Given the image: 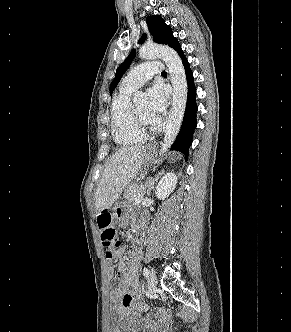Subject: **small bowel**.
<instances>
[{
	"label": "small bowel",
	"mask_w": 291,
	"mask_h": 332,
	"mask_svg": "<svg viewBox=\"0 0 291 332\" xmlns=\"http://www.w3.org/2000/svg\"><path fill=\"white\" fill-rule=\"evenodd\" d=\"M118 257L117 278L119 284L110 294L111 313L118 331L157 332L166 325L168 315L161 313L155 321L141 315L149 309V306L142 300L137 281V268L142 255L139 248L132 249L129 259L125 255V248L118 247L115 251ZM108 274L113 275V268L108 267Z\"/></svg>",
	"instance_id": "obj_1"
}]
</instances>
